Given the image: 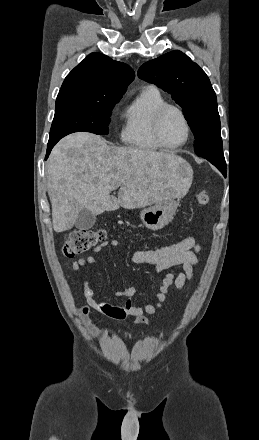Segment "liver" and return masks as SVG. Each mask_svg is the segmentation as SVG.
Segmentation results:
<instances>
[{
  "label": "liver",
  "mask_w": 259,
  "mask_h": 440,
  "mask_svg": "<svg viewBox=\"0 0 259 440\" xmlns=\"http://www.w3.org/2000/svg\"><path fill=\"white\" fill-rule=\"evenodd\" d=\"M46 174L55 232L71 229L79 212L142 208L178 198L192 180L190 165L171 153L109 145L100 136L78 132L61 139ZM120 187L118 198L111 191Z\"/></svg>",
  "instance_id": "liver-1"
}]
</instances>
